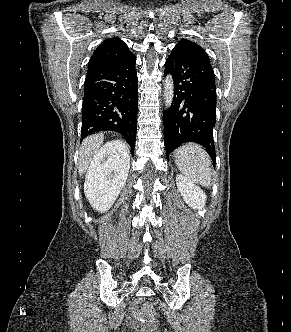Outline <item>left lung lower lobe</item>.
Segmentation results:
<instances>
[{
    "label": "left lung lower lobe",
    "instance_id": "left-lung-lower-lobe-1",
    "mask_svg": "<svg viewBox=\"0 0 291 332\" xmlns=\"http://www.w3.org/2000/svg\"><path fill=\"white\" fill-rule=\"evenodd\" d=\"M167 74L174 83L173 101L163 116L167 158L180 144L195 142L215 162L216 84L208 55L197 48L174 47L165 62Z\"/></svg>",
    "mask_w": 291,
    "mask_h": 332
}]
</instances>
